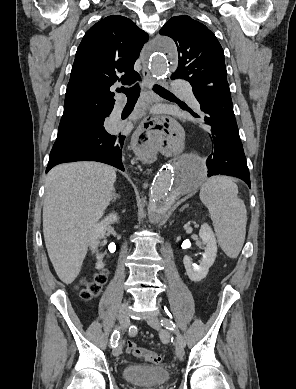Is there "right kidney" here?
Returning a JSON list of instances; mask_svg holds the SVG:
<instances>
[{"instance_id":"right-kidney-1","label":"right kidney","mask_w":296,"mask_h":389,"mask_svg":"<svg viewBox=\"0 0 296 389\" xmlns=\"http://www.w3.org/2000/svg\"><path fill=\"white\" fill-rule=\"evenodd\" d=\"M118 220L119 217L115 212H113L106 216L101 222L95 225L89 242V246L92 252L96 251L100 240L105 236L107 226L118 222ZM103 267L104 263L102 262V260H98L96 263V269L100 270Z\"/></svg>"}]
</instances>
